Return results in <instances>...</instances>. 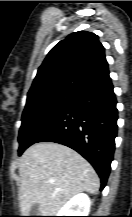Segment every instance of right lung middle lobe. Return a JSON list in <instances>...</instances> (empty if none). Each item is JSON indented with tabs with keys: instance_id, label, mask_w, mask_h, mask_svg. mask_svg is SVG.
<instances>
[{
	"instance_id": "obj_1",
	"label": "right lung middle lobe",
	"mask_w": 132,
	"mask_h": 217,
	"mask_svg": "<svg viewBox=\"0 0 132 217\" xmlns=\"http://www.w3.org/2000/svg\"><path fill=\"white\" fill-rule=\"evenodd\" d=\"M76 96L70 92L57 91L27 98L18 137L19 155L36 142Z\"/></svg>"
}]
</instances>
